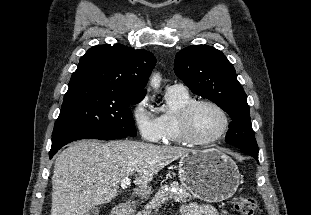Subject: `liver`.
<instances>
[{"mask_svg": "<svg viewBox=\"0 0 311 215\" xmlns=\"http://www.w3.org/2000/svg\"><path fill=\"white\" fill-rule=\"evenodd\" d=\"M190 152L131 140L74 142L54 164L51 215H87L115 198L120 182L135 172L139 194L161 169Z\"/></svg>", "mask_w": 311, "mask_h": 215, "instance_id": "1", "label": "liver"}]
</instances>
